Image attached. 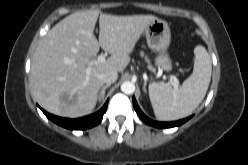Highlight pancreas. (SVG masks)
Here are the masks:
<instances>
[{
  "label": "pancreas",
  "mask_w": 248,
  "mask_h": 165,
  "mask_svg": "<svg viewBox=\"0 0 248 165\" xmlns=\"http://www.w3.org/2000/svg\"><path fill=\"white\" fill-rule=\"evenodd\" d=\"M140 55L143 57L144 56V52H140ZM145 60L149 63V69L151 70V71H155V69L152 67V65L150 64V60L148 59V57L147 56H145Z\"/></svg>",
  "instance_id": "obj_1"
}]
</instances>
